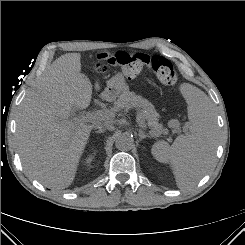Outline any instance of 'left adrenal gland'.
Segmentation results:
<instances>
[{"label": "left adrenal gland", "mask_w": 245, "mask_h": 245, "mask_svg": "<svg viewBox=\"0 0 245 245\" xmlns=\"http://www.w3.org/2000/svg\"><path fill=\"white\" fill-rule=\"evenodd\" d=\"M138 132H139V139H140V141H142L145 138H150V136L148 134H145V132L143 130L139 129Z\"/></svg>", "instance_id": "obj_1"}]
</instances>
